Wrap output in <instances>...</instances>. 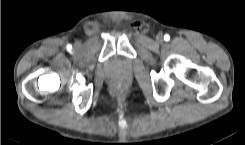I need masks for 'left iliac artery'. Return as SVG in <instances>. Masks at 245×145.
<instances>
[{"label": "left iliac artery", "mask_w": 245, "mask_h": 145, "mask_svg": "<svg viewBox=\"0 0 245 145\" xmlns=\"http://www.w3.org/2000/svg\"><path fill=\"white\" fill-rule=\"evenodd\" d=\"M169 39H170V36H169L168 34H165V35H164V40H165V41H169Z\"/></svg>", "instance_id": "left-iliac-artery-1"}]
</instances>
